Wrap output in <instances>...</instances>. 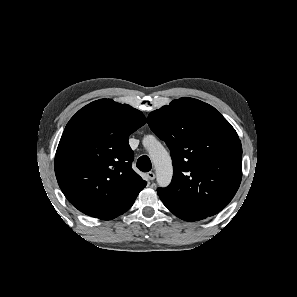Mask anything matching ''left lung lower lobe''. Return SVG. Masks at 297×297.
<instances>
[{"label":"left lung lower lobe","mask_w":297,"mask_h":297,"mask_svg":"<svg viewBox=\"0 0 297 297\" xmlns=\"http://www.w3.org/2000/svg\"><path fill=\"white\" fill-rule=\"evenodd\" d=\"M160 199L162 200V202L164 203V205H165V206H166V207H167L173 214H175L177 217L181 218L182 220L189 221V222H194V221H196L195 219L189 218V217L183 215L182 213L178 212L177 210L173 209L172 207H170V206L168 205V202H167L165 199H163V198H161V197H160Z\"/></svg>","instance_id":"left-lung-lower-lobe-1"}]
</instances>
